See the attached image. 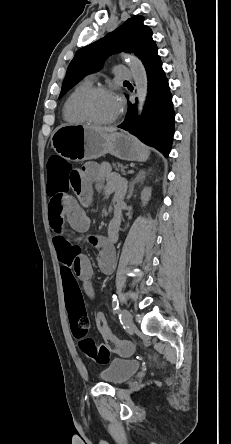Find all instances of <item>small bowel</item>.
<instances>
[{
	"instance_id": "1",
	"label": "small bowel",
	"mask_w": 231,
	"mask_h": 444,
	"mask_svg": "<svg viewBox=\"0 0 231 444\" xmlns=\"http://www.w3.org/2000/svg\"><path fill=\"white\" fill-rule=\"evenodd\" d=\"M93 185L104 195L114 193V204L119 207L122 197V184L119 178L110 173L105 165L88 163L78 171V176L71 181L69 189L73 190L78 200H75L66 190L62 199L53 209L49 206V220L53 231V241L61 263L60 272L65 295L82 294L78 280L82 281L83 289L90 297L93 290L90 284L92 266L90 260L81 251L79 245L71 237L67 223L76 232L85 233L90 227V218L84 205L92 196ZM118 222H110L105 236H91L89 242L98 253V265L102 272L110 274L115 265V243L118 239L120 215ZM95 324L106 340H114L115 335L102 312L95 313Z\"/></svg>"
}]
</instances>
